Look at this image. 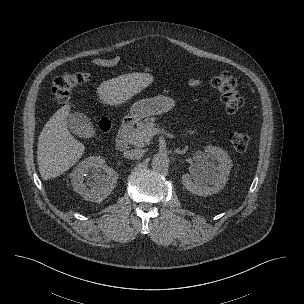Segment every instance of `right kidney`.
I'll return each instance as SVG.
<instances>
[{
	"instance_id": "1",
	"label": "right kidney",
	"mask_w": 304,
	"mask_h": 304,
	"mask_svg": "<svg viewBox=\"0 0 304 304\" xmlns=\"http://www.w3.org/2000/svg\"><path fill=\"white\" fill-rule=\"evenodd\" d=\"M87 171L92 175L83 183ZM74 191L85 200L92 202L103 201L115 188L118 174L105 164L100 156H90L81 161L70 174Z\"/></svg>"
}]
</instances>
